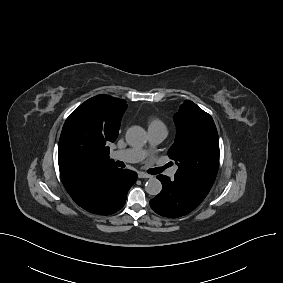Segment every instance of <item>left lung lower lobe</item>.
<instances>
[{"mask_svg": "<svg viewBox=\"0 0 283 283\" xmlns=\"http://www.w3.org/2000/svg\"><path fill=\"white\" fill-rule=\"evenodd\" d=\"M162 191L152 200L151 208L159 215L176 218L193 211L207 195L195 186L175 176L173 180L165 175H158Z\"/></svg>", "mask_w": 283, "mask_h": 283, "instance_id": "0a47b994", "label": "left lung lower lobe"}]
</instances>
